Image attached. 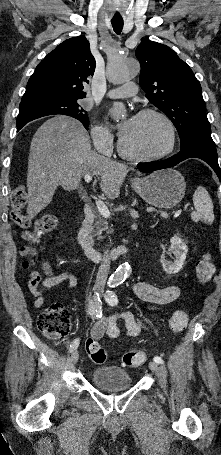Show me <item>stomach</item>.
<instances>
[{
    "instance_id": "1",
    "label": "stomach",
    "mask_w": 221,
    "mask_h": 455,
    "mask_svg": "<svg viewBox=\"0 0 221 455\" xmlns=\"http://www.w3.org/2000/svg\"><path fill=\"white\" fill-rule=\"evenodd\" d=\"M132 187L148 204L167 209L181 202L185 195L186 182L175 169H164L134 180Z\"/></svg>"
}]
</instances>
